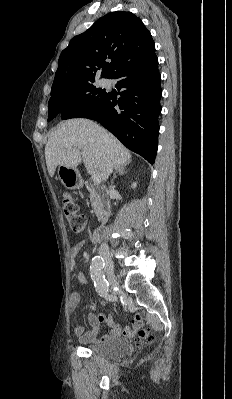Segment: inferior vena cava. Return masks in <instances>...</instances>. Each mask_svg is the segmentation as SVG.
I'll list each match as a JSON object with an SVG mask.
<instances>
[{
	"mask_svg": "<svg viewBox=\"0 0 232 399\" xmlns=\"http://www.w3.org/2000/svg\"><path fill=\"white\" fill-rule=\"evenodd\" d=\"M99 255L105 259L104 263H111L112 259L110 258V247L107 243H102L99 247Z\"/></svg>",
	"mask_w": 232,
	"mask_h": 399,
	"instance_id": "602c4592",
	"label": "inferior vena cava"
}]
</instances>
